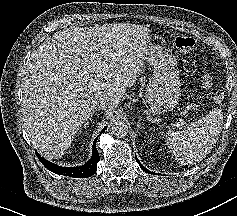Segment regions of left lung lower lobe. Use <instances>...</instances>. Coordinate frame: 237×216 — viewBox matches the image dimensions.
<instances>
[{
  "label": "left lung lower lobe",
  "instance_id": "0a47b994",
  "mask_svg": "<svg viewBox=\"0 0 237 216\" xmlns=\"http://www.w3.org/2000/svg\"><path fill=\"white\" fill-rule=\"evenodd\" d=\"M135 157H136V161L139 163V166H140L145 172L152 174V172H150L149 170H147L145 167H143V166L141 165V163H140L139 160L137 159V156H135ZM154 174H156V173H154Z\"/></svg>",
  "mask_w": 237,
  "mask_h": 216
}]
</instances>
